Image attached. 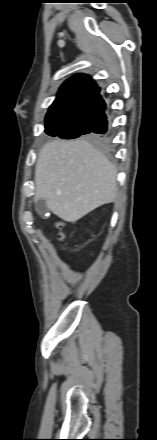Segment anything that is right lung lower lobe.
<instances>
[{
	"mask_svg": "<svg viewBox=\"0 0 157 440\" xmlns=\"http://www.w3.org/2000/svg\"><path fill=\"white\" fill-rule=\"evenodd\" d=\"M90 128L98 134L105 133L107 130V117L105 113L99 116Z\"/></svg>",
	"mask_w": 157,
	"mask_h": 440,
	"instance_id": "obj_1",
	"label": "right lung lower lobe"
}]
</instances>
